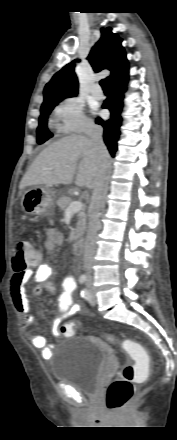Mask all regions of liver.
<instances>
[{
  "mask_svg": "<svg viewBox=\"0 0 177 440\" xmlns=\"http://www.w3.org/2000/svg\"><path fill=\"white\" fill-rule=\"evenodd\" d=\"M109 153L105 148L104 160ZM100 170L99 156L90 138L69 136L46 147L34 160L20 183V189L36 185H69L93 189Z\"/></svg>",
  "mask_w": 177,
  "mask_h": 440,
  "instance_id": "1",
  "label": "liver"
}]
</instances>
